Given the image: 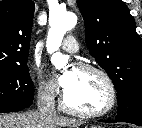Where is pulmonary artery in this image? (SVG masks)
Returning a JSON list of instances; mask_svg holds the SVG:
<instances>
[{
  "label": "pulmonary artery",
  "instance_id": "obj_1",
  "mask_svg": "<svg viewBox=\"0 0 142 128\" xmlns=\"http://www.w3.org/2000/svg\"><path fill=\"white\" fill-rule=\"evenodd\" d=\"M61 48L66 52L75 53L78 51L79 47L75 37L69 35L64 39Z\"/></svg>",
  "mask_w": 142,
  "mask_h": 128
}]
</instances>
